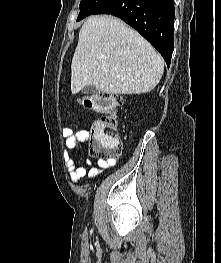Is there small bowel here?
I'll list each match as a JSON object with an SVG mask.
<instances>
[{"mask_svg":"<svg viewBox=\"0 0 221 263\" xmlns=\"http://www.w3.org/2000/svg\"><path fill=\"white\" fill-rule=\"evenodd\" d=\"M62 135L66 141V151L74 153L76 159L81 158L82 153L80 146L87 142L89 133L86 130L73 131L69 128L62 130ZM67 165L69 168L70 178L73 182H78L83 178L93 179L97 175L101 174L104 169L113 167L116 165L115 159L99 160L97 166H92L90 162H86L83 166H77L75 161L71 158H67Z\"/></svg>","mask_w":221,"mask_h":263,"instance_id":"obj_1","label":"small bowel"}]
</instances>
